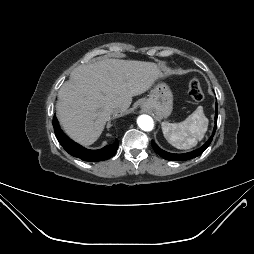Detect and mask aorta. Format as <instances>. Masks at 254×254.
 Returning a JSON list of instances; mask_svg holds the SVG:
<instances>
[{"label": "aorta", "instance_id": "obj_1", "mask_svg": "<svg viewBox=\"0 0 254 254\" xmlns=\"http://www.w3.org/2000/svg\"><path fill=\"white\" fill-rule=\"evenodd\" d=\"M138 126L144 131H151L154 127L153 119L149 115H141L137 119Z\"/></svg>", "mask_w": 254, "mask_h": 254}]
</instances>
